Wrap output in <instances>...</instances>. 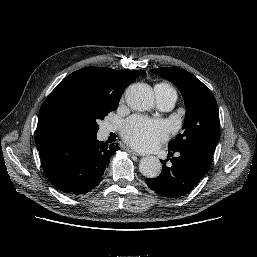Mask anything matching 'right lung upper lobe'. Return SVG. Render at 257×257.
Listing matches in <instances>:
<instances>
[{
	"instance_id": "obj_1",
	"label": "right lung upper lobe",
	"mask_w": 257,
	"mask_h": 257,
	"mask_svg": "<svg viewBox=\"0 0 257 257\" xmlns=\"http://www.w3.org/2000/svg\"><path fill=\"white\" fill-rule=\"evenodd\" d=\"M144 70H113L86 67L68 75L44 101L38 116L36 145L78 135L70 109L71 98L79 91L120 99L124 89Z\"/></svg>"
}]
</instances>
